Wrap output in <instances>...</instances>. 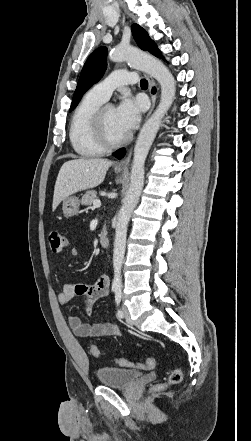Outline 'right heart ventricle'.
Instances as JSON below:
<instances>
[{"instance_id":"obj_1","label":"right heart ventricle","mask_w":251,"mask_h":441,"mask_svg":"<svg viewBox=\"0 0 251 441\" xmlns=\"http://www.w3.org/2000/svg\"><path fill=\"white\" fill-rule=\"evenodd\" d=\"M105 101L91 90L85 94L72 114L69 138L74 151L81 157H97L105 151L97 142L92 127L93 117Z\"/></svg>"}]
</instances>
